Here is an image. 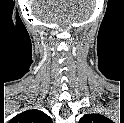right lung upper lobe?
<instances>
[{"mask_svg":"<svg viewBox=\"0 0 124 123\" xmlns=\"http://www.w3.org/2000/svg\"><path fill=\"white\" fill-rule=\"evenodd\" d=\"M14 121L20 123H51V118L42 111L28 110L22 112L13 118Z\"/></svg>","mask_w":124,"mask_h":123,"instance_id":"1","label":"right lung upper lobe"}]
</instances>
